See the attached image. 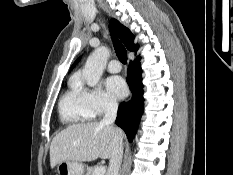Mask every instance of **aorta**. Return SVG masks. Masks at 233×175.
<instances>
[{"label": "aorta", "mask_w": 233, "mask_h": 175, "mask_svg": "<svg viewBox=\"0 0 233 175\" xmlns=\"http://www.w3.org/2000/svg\"><path fill=\"white\" fill-rule=\"evenodd\" d=\"M109 57L107 47L101 46L88 57L82 75L88 86L94 87L100 80Z\"/></svg>", "instance_id": "762f6f07"}]
</instances>
